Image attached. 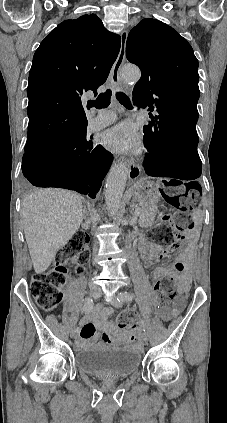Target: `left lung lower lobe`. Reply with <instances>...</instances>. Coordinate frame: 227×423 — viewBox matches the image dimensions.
<instances>
[{
	"instance_id": "obj_1",
	"label": "left lung lower lobe",
	"mask_w": 227,
	"mask_h": 423,
	"mask_svg": "<svg viewBox=\"0 0 227 423\" xmlns=\"http://www.w3.org/2000/svg\"><path fill=\"white\" fill-rule=\"evenodd\" d=\"M197 120L152 117L143 127L149 154L144 167L149 176L194 180L201 175L197 152Z\"/></svg>"
}]
</instances>
